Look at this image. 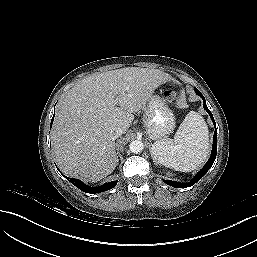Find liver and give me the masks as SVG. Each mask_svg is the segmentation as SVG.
I'll use <instances>...</instances> for the list:
<instances>
[{"label":"liver","mask_w":257,"mask_h":257,"mask_svg":"<svg viewBox=\"0 0 257 257\" xmlns=\"http://www.w3.org/2000/svg\"><path fill=\"white\" fill-rule=\"evenodd\" d=\"M173 80L158 69L126 67L78 82L58 105L51 140L61 171L85 182L111 174L118 158L112 133H125L160 85Z\"/></svg>","instance_id":"obj_1"}]
</instances>
